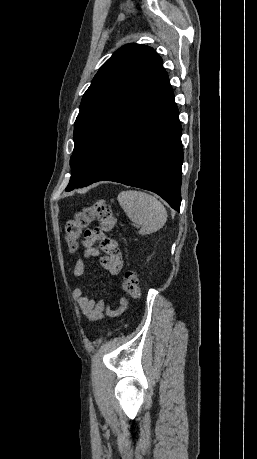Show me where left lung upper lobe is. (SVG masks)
<instances>
[{
	"label": "left lung upper lobe",
	"mask_w": 257,
	"mask_h": 459,
	"mask_svg": "<svg viewBox=\"0 0 257 459\" xmlns=\"http://www.w3.org/2000/svg\"><path fill=\"white\" fill-rule=\"evenodd\" d=\"M162 68L161 57L142 44H126L101 66L84 93L74 126L71 178L66 191L90 185L99 174L114 127Z\"/></svg>",
	"instance_id": "obj_1"
}]
</instances>
